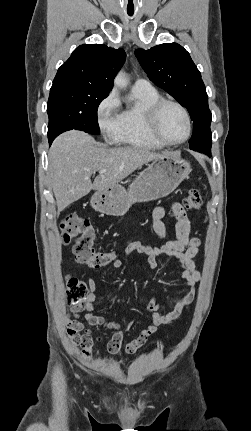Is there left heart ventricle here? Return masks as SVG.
<instances>
[{
    "instance_id": "1",
    "label": "left heart ventricle",
    "mask_w": 251,
    "mask_h": 431,
    "mask_svg": "<svg viewBox=\"0 0 251 431\" xmlns=\"http://www.w3.org/2000/svg\"><path fill=\"white\" fill-rule=\"evenodd\" d=\"M159 131L168 141L176 142L186 134V121L183 113L175 106L167 105L159 116Z\"/></svg>"
}]
</instances>
